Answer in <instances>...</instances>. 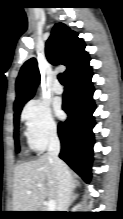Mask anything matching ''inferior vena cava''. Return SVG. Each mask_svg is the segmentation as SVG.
<instances>
[{
	"label": "inferior vena cava",
	"instance_id": "obj_1",
	"mask_svg": "<svg viewBox=\"0 0 123 219\" xmlns=\"http://www.w3.org/2000/svg\"><path fill=\"white\" fill-rule=\"evenodd\" d=\"M60 152V141L57 132L50 134L48 156L53 160L58 179L57 211H67L70 201L72 184L67 165L58 157Z\"/></svg>",
	"mask_w": 123,
	"mask_h": 219
}]
</instances>
